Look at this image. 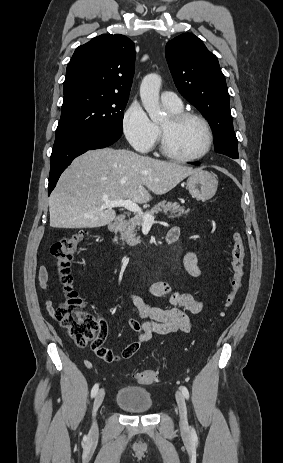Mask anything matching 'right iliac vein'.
I'll return each instance as SVG.
<instances>
[{"instance_id":"right-iliac-vein-1","label":"right iliac vein","mask_w":283,"mask_h":463,"mask_svg":"<svg viewBox=\"0 0 283 463\" xmlns=\"http://www.w3.org/2000/svg\"><path fill=\"white\" fill-rule=\"evenodd\" d=\"M104 396H105V391L104 389H100L96 396H95V399H94V404H93V416H94V419H93V422H92V425H91V428H90V435L93 436V437H96L98 435V425H97V422L95 420V415H96V412L98 410V408L101 406L103 400H104Z\"/></svg>"}]
</instances>
